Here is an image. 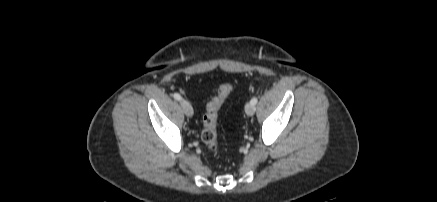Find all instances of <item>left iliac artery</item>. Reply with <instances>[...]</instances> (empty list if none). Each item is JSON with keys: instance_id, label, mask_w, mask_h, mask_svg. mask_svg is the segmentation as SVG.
Masks as SVG:
<instances>
[{"instance_id": "obj_1", "label": "left iliac artery", "mask_w": 437, "mask_h": 202, "mask_svg": "<svg viewBox=\"0 0 437 202\" xmlns=\"http://www.w3.org/2000/svg\"><path fill=\"white\" fill-rule=\"evenodd\" d=\"M257 102H258L257 97H253V98L251 99V101H250V103L253 104V105H256Z\"/></svg>"}]
</instances>
